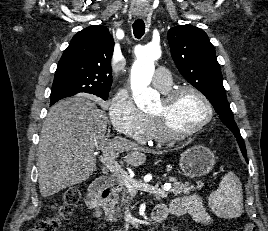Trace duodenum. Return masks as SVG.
Listing matches in <instances>:
<instances>
[{"label": "duodenum", "instance_id": "410a0bca", "mask_svg": "<svg viewBox=\"0 0 268 231\" xmlns=\"http://www.w3.org/2000/svg\"><path fill=\"white\" fill-rule=\"evenodd\" d=\"M115 180L110 176H104L98 179L91 188V192L86 198V203L89 208L95 210V215L97 218H100L102 215V206L104 202L110 196V189L114 186ZM153 220L159 221L163 220V217L154 216Z\"/></svg>", "mask_w": 268, "mask_h": 231}]
</instances>
